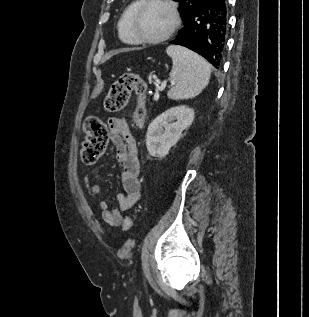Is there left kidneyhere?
<instances>
[{"label":"left kidney","instance_id":"5707ae66","mask_svg":"<svg viewBox=\"0 0 309 317\" xmlns=\"http://www.w3.org/2000/svg\"><path fill=\"white\" fill-rule=\"evenodd\" d=\"M194 120V111L187 106L173 107L157 116L148 126L146 146L153 157H165Z\"/></svg>","mask_w":309,"mask_h":317}]
</instances>
